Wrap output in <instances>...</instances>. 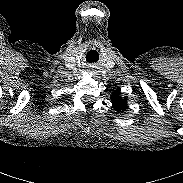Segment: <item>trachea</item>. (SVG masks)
I'll return each instance as SVG.
<instances>
[{
	"instance_id": "1",
	"label": "trachea",
	"mask_w": 183,
	"mask_h": 183,
	"mask_svg": "<svg viewBox=\"0 0 183 183\" xmlns=\"http://www.w3.org/2000/svg\"><path fill=\"white\" fill-rule=\"evenodd\" d=\"M89 61V60H88ZM89 62H95V60L93 61V59H92V61L90 60Z\"/></svg>"
}]
</instances>
